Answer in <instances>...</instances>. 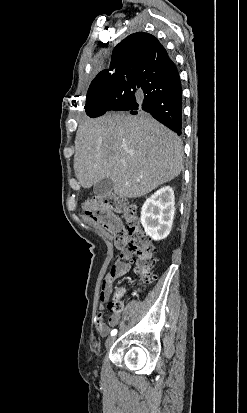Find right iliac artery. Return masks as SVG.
<instances>
[{
    "label": "right iliac artery",
    "instance_id": "obj_1",
    "mask_svg": "<svg viewBox=\"0 0 247 413\" xmlns=\"http://www.w3.org/2000/svg\"><path fill=\"white\" fill-rule=\"evenodd\" d=\"M117 334V329H113L112 331H111V336H114V335H116Z\"/></svg>",
    "mask_w": 247,
    "mask_h": 413
}]
</instances>
